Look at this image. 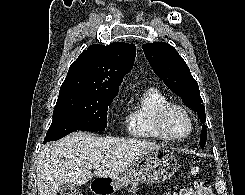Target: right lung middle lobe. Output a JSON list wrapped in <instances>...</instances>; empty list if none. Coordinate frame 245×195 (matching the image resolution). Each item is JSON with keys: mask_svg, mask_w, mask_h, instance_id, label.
Returning <instances> with one entry per match:
<instances>
[{"mask_svg": "<svg viewBox=\"0 0 245 195\" xmlns=\"http://www.w3.org/2000/svg\"><path fill=\"white\" fill-rule=\"evenodd\" d=\"M115 96L96 91L59 93L52 124L43 143L58 140L77 130L106 128L108 106Z\"/></svg>", "mask_w": 245, "mask_h": 195, "instance_id": "dd1d6c3e", "label": "right lung middle lobe"}]
</instances>
